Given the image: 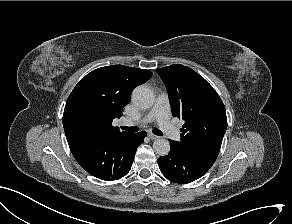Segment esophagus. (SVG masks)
<instances>
[{
    "mask_svg": "<svg viewBox=\"0 0 292 224\" xmlns=\"http://www.w3.org/2000/svg\"><path fill=\"white\" fill-rule=\"evenodd\" d=\"M149 138L150 139H152V140H156V139H158L159 138V136H157V135H154V134H152V133H149Z\"/></svg>",
    "mask_w": 292,
    "mask_h": 224,
    "instance_id": "1",
    "label": "esophagus"
}]
</instances>
